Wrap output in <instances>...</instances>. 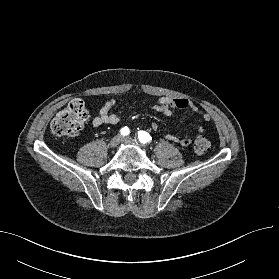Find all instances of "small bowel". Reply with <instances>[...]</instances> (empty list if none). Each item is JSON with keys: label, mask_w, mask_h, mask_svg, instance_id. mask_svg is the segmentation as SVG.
Listing matches in <instances>:
<instances>
[{"label": "small bowel", "mask_w": 279, "mask_h": 279, "mask_svg": "<svg viewBox=\"0 0 279 279\" xmlns=\"http://www.w3.org/2000/svg\"><path fill=\"white\" fill-rule=\"evenodd\" d=\"M114 99L107 100L99 110V113L92 120L93 127H100L103 125H115L120 121V116L113 113L111 110L115 106ZM151 110L163 115H170L173 109H189L193 113L199 115L203 122L209 120V115L197 107L191 100L186 98H173V97H160L151 106ZM153 130L158 129L157 123H152ZM204 132V128L199 126L195 135L196 139L201 137ZM167 139L179 144L182 147H187L192 143L190 138H179L174 135H167Z\"/></svg>", "instance_id": "1"}]
</instances>
